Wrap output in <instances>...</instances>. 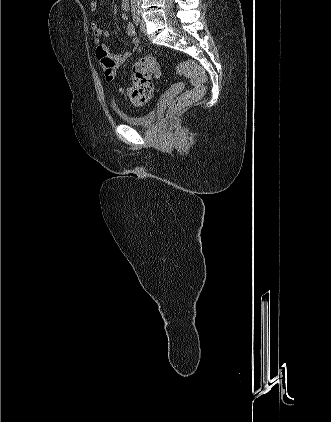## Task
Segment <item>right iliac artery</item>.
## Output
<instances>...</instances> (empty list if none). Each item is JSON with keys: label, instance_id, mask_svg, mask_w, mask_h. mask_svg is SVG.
<instances>
[{"label": "right iliac artery", "instance_id": "1", "mask_svg": "<svg viewBox=\"0 0 331 422\" xmlns=\"http://www.w3.org/2000/svg\"><path fill=\"white\" fill-rule=\"evenodd\" d=\"M132 17H133L134 23L138 26L140 24V12L139 11H134L132 13Z\"/></svg>", "mask_w": 331, "mask_h": 422}]
</instances>
